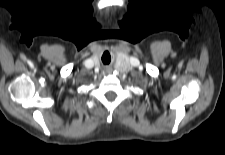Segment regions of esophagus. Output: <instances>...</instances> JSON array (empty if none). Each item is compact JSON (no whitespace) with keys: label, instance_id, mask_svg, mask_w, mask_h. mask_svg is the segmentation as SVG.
<instances>
[{"label":"esophagus","instance_id":"34e87169","mask_svg":"<svg viewBox=\"0 0 225 155\" xmlns=\"http://www.w3.org/2000/svg\"><path fill=\"white\" fill-rule=\"evenodd\" d=\"M111 71V69H110V67H105V72H110Z\"/></svg>","mask_w":225,"mask_h":155}]
</instances>
